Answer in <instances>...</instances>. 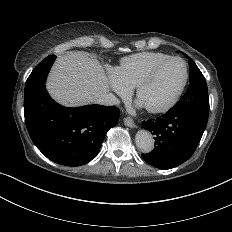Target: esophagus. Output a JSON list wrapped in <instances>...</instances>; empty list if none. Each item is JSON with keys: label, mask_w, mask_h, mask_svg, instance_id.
<instances>
[{"label": "esophagus", "mask_w": 232, "mask_h": 232, "mask_svg": "<svg viewBox=\"0 0 232 232\" xmlns=\"http://www.w3.org/2000/svg\"><path fill=\"white\" fill-rule=\"evenodd\" d=\"M123 122L126 126L131 127V128H135L136 124L134 123L133 119L131 117H125L123 119Z\"/></svg>", "instance_id": "esophagus-1"}]
</instances>
